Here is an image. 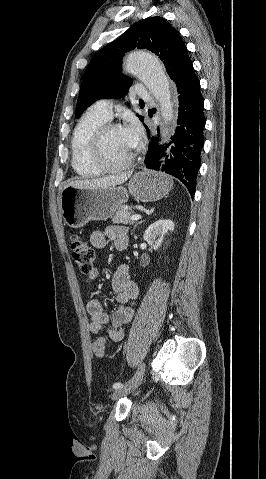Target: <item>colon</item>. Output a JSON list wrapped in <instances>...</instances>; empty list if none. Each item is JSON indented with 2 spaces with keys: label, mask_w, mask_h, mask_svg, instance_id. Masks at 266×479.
Masks as SVG:
<instances>
[{
  "label": "colon",
  "mask_w": 266,
  "mask_h": 479,
  "mask_svg": "<svg viewBox=\"0 0 266 479\" xmlns=\"http://www.w3.org/2000/svg\"><path fill=\"white\" fill-rule=\"evenodd\" d=\"M70 250L72 258L79 270L88 274L92 271L95 264L94 250L89 246L88 242L81 236L73 234L70 237ZM92 351L96 357L102 358L106 354V340L99 337L92 343Z\"/></svg>",
  "instance_id": "obj_1"
}]
</instances>
